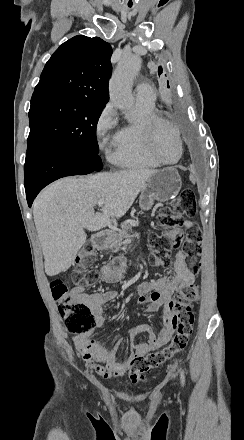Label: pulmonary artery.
Returning a JSON list of instances; mask_svg holds the SVG:
<instances>
[{"label":"pulmonary artery","instance_id":"obj_1","mask_svg":"<svg viewBox=\"0 0 244 440\" xmlns=\"http://www.w3.org/2000/svg\"><path fill=\"white\" fill-rule=\"evenodd\" d=\"M137 94L136 101L137 102H155L156 94L154 90L151 89L150 82H138L137 84Z\"/></svg>","mask_w":244,"mask_h":440}]
</instances>
